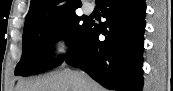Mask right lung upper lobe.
Listing matches in <instances>:
<instances>
[{
  "instance_id": "obj_1",
  "label": "right lung upper lobe",
  "mask_w": 173,
  "mask_h": 91,
  "mask_svg": "<svg viewBox=\"0 0 173 91\" xmlns=\"http://www.w3.org/2000/svg\"><path fill=\"white\" fill-rule=\"evenodd\" d=\"M80 6L81 2L77 0H31L24 29L41 23L63 19L75 14V10Z\"/></svg>"
}]
</instances>
